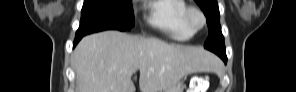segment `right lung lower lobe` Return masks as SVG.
I'll use <instances>...</instances> for the list:
<instances>
[{
    "label": "right lung lower lobe",
    "instance_id": "1",
    "mask_svg": "<svg viewBox=\"0 0 296 92\" xmlns=\"http://www.w3.org/2000/svg\"><path fill=\"white\" fill-rule=\"evenodd\" d=\"M81 38L80 37H77L75 38V41H74V46L78 43V41L80 40Z\"/></svg>",
    "mask_w": 296,
    "mask_h": 92
}]
</instances>
